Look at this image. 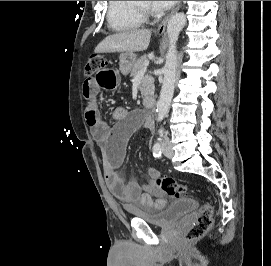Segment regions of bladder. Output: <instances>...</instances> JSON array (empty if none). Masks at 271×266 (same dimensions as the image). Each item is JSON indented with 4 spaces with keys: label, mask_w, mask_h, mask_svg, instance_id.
Listing matches in <instances>:
<instances>
[{
    "label": "bladder",
    "mask_w": 271,
    "mask_h": 266,
    "mask_svg": "<svg viewBox=\"0 0 271 266\" xmlns=\"http://www.w3.org/2000/svg\"><path fill=\"white\" fill-rule=\"evenodd\" d=\"M197 206L198 202L195 199L183 198L170 203L162 209L150 212L130 209V214L134 218L142 219L151 225L167 227L177 222Z\"/></svg>",
    "instance_id": "31cf9c89"
}]
</instances>
